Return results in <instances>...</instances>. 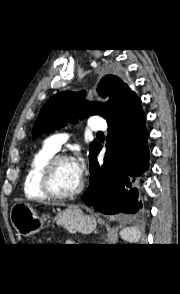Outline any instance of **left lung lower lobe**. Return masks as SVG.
I'll use <instances>...</instances> for the list:
<instances>
[{
  "label": "left lung lower lobe",
  "mask_w": 180,
  "mask_h": 294,
  "mask_svg": "<svg viewBox=\"0 0 180 294\" xmlns=\"http://www.w3.org/2000/svg\"><path fill=\"white\" fill-rule=\"evenodd\" d=\"M141 99L134 95L108 123L106 153L99 166L90 159V185L83 201L104 214L136 213L141 210L140 176L149 167L148 132Z\"/></svg>",
  "instance_id": "0a47b994"
}]
</instances>
